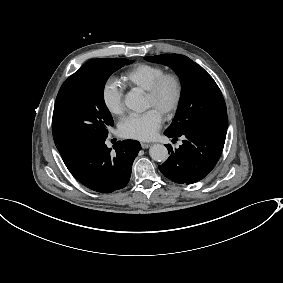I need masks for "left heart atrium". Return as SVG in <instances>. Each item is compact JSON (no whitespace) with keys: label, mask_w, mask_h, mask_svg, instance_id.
<instances>
[{"label":"left heart atrium","mask_w":283,"mask_h":283,"mask_svg":"<svg viewBox=\"0 0 283 283\" xmlns=\"http://www.w3.org/2000/svg\"><path fill=\"white\" fill-rule=\"evenodd\" d=\"M163 115L154 108L140 114H130L119 125V134L125 138L150 140L154 138L162 124Z\"/></svg>","instance_id":"39dd6f15"}]
</instances>
